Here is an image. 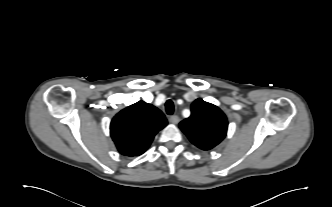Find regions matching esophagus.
<instances>
[{"label": "esophagus", "instance_id": "34e87169", "mask_svg": "<svg viewBox=\"0 0 332 207\" xmlns=\"http://www.w3.org/2000/svg\"><path fill=\"white\" fill-rule=\"evenodd\" d=\"M169 122L172 124H177L179 122V117L177 115H172L169 117Z\"/></svg>", "mask_w": 332, "mask_h": 207}]
</instances>
